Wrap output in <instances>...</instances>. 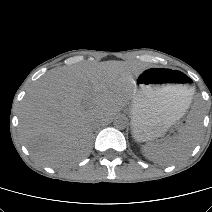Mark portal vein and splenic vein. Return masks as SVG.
Segmentation results:
<instances>
[{
    "instance_id": "obj_1",
    "label": "portal vein and splenic vein",
    "mask_w": 212,
    "mask_h": 212,
    "mask_svg": "<svg viewBox=\"0 0 212 212\" xmlns=\"http://www.w3.org/2000/svg\"><path fill=\"white\" fill-rule=\"evenodd\" d=\"M86 105H87V106H90V105H91V101L88 100V101L86 102Z\"/></svg>"
}]
</instances>
